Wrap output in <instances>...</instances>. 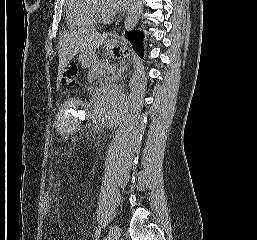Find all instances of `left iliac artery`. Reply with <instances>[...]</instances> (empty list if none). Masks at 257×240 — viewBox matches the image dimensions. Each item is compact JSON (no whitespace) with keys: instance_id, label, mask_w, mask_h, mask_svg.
<instances>
[{"instance_id":"obj_1","label":"left iliac artery","mask_w":257,"mask_h":240,"mask_svg":"<svg viewBox=\"0 0 257 240\" xmlns=\"http://www.w3.org/2000/svg\"><path fill=\"white\" fill-rule=\"evenodd\" d=\"M100 233H101V227L98 226L95 232V240H98Z\"/></svg>"}]
</instances>
